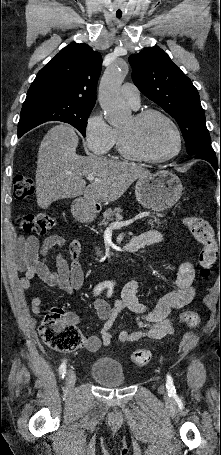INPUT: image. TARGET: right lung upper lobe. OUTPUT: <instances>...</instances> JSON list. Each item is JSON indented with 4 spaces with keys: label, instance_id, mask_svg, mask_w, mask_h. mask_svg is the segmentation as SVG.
<instances>
[{
    "label": "right lung upper lobe",
    "instance_id": "1",
    "mask_svg": "<svg viewBox=\"0 0 221 455\" xmlns=\"http://www.w3.org/2000/svg\"><path fill=\"white\" fill-rule=\"evenodd\" d=\"M102 57L86 43H71L37 74L23 105L69 103L94 105Z\"/></svg>",
    "mask_w": 221,
    "mask_h": 455
}]
</instances>
